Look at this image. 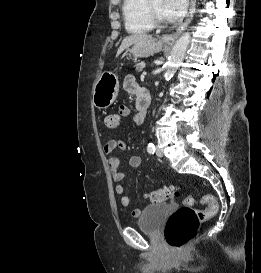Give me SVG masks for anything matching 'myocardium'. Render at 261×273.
Instances as JSON below:
<instances>
[{
    "label": "myocardium",
    "mask_w": 261,
    "mask_h": 273,
    "mask_svg": "<svg viewBox=\"0 0 261 273\" xmlns=\"http://www.w3.org/2000/svg\"><path fill=\"white\" fill-rule=\"evenodd\" d=\"M147 12L154 27L162 28L167 22L162 20L152 5V0H147Z\"/></svg>",
    "instance_id": "obj_1"
}]
</instances>
